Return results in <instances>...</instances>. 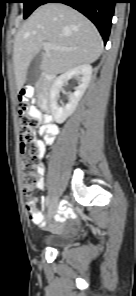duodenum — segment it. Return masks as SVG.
Here are the masks:
<instances>
[{"mask_svg":"<svg viewBox=\"0 0 136 296\" xmlns=\"http://www.w3.org/2000/svg\"><path fill=\"white\" fill-rule=\"evenodd\" d=\"M54 80H55L54 75L45 74L42 78L41 85H40L39 106L43 111H45L48 114H50L51 112V99H50L49 91Z\"/></svg>","mask_w":136,"mask_h":296,"instance_id":"410a0bca","label":"duodenum"}]
</instances>
